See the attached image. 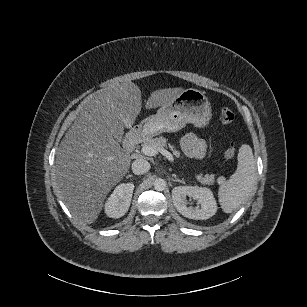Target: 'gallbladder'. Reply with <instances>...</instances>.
Wrapping results in <instances>:
<instances>
[{"instance_id":"1","label":"gallbladder","mask_w":307,"mask_h":307,"mask_svg":"<svg viewBox=\"0 0 307 307\" xmlns=\"http://www.w3.org/2000/svg\"><path fill=\"white\" fill-rule=\"evenodd\" d=\"M109 119L107 121V126L111 127L112 132L111 135L114 139H116L117 142H122L123 141V134H124V129H123V124L117 118L113 116H109Z\"/></svg>"}]
</instances>
